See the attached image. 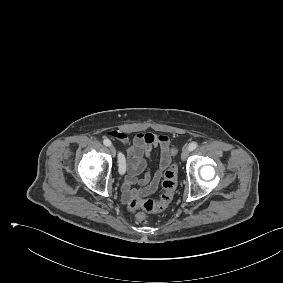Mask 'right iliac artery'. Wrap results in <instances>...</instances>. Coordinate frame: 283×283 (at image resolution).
<instances>
[{"mask_svg":"<svg viewBox=\"0 0 283 283\" xmlns=\"http://www.w3.org/2000/svg\"><path fill=\"white\" fill-rule=\"evenodd\" d=\"M104 145L111 146V141L109 139L103 140ZM118 165H119V173L124 174L126 170L125 158L122 153L118 154Z\"/></svg>","mask_w":283,"mask_h":283,"instance_id":"82829eb1","label":"right iliac artery"}]
</instances>
